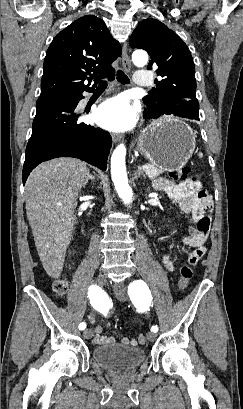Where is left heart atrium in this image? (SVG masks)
<instances>
[{"label":"left heart atrium","mask_w":243,"mask_h":409,"mask_svg":"<svg viewBox=\"0 0 243 409\" xmlns=\"http://www.w3.org/2000/svg\"><path fill=\"white\" fill-rule=\"evenodd\" d=\"M97 123L110 131H125L137 120V108L124 95L103 102L95 113Z\"/></svg>","instance_id":"obj_1"}]
</instances>
